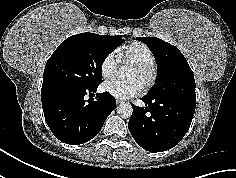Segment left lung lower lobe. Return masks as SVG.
Listing matches in <instances>:
<instances>
[{
	"label": "left lung lower lobe",
	"mask_w": 236,
	"mask_h": 178,
	"mask_svg": "<svg viewBox=\"0 0 236 178\" xmlns=\"http://www.w3.org/2000/svg\"><path fill=\"white\" fill-rule=\"evenodd\" d=\"M146 107L133 106L128 128L135 141L150 152L176 146L192 122L196 101L143 97Z\"/></svg>",
	"instance_id": "obj_1"
}]
</instances>
